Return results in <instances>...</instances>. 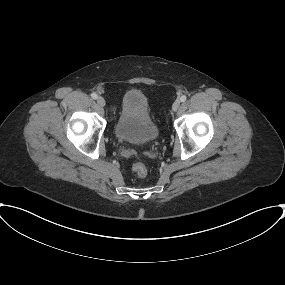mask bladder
<instances>
[{
	"label": "bladder",
	"instance_id": "31cf9c89",
	"mask_svg": "<svg viewBox=\"0 0 285 285\" xmlns=\"http://www.w3.org/2000/svg\"><path fill=\"white\" fill-rule=\"evenodd\" d=\"M114 133L119 140L136 145H146L157 140L159 129L142 91L132 89L123 95Z\"/></svg>",
	"mask_w": 285,
	"mask_h": 285
}]
</instances>
